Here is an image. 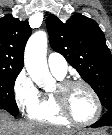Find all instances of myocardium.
<instances>
[{
    "instance_id": "f54148a6",
    "label": "myocardium",
    "mask_w": 112,
    "mask_h": 135,
    "mask_svg": "<svg viewBox=\"0 0 112 135\" xmlns=\"http://www.w3.org/2000/svg\"><path fill=\"white\" fill-rule=\"evenodd\" d=\"M74 86H83L85 87L89 93L92 95L96 111L94 116L87 121H80L76 119L69 110L67 104V92L71 87ZM55 105L59 113L69 122L78 125V126H89L96 123L102 114V102L100 100L99 95L95 91V89L86 81L80 79L73 80H64L58 83L56 91L52 93Z\"/></svg>"
}]
</instances>
